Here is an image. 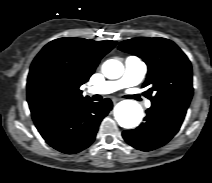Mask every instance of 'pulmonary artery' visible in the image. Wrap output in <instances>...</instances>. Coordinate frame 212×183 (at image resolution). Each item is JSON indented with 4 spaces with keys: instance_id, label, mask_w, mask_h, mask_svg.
Listing matches in <instances>:
<instances>
[{
    "instance_id": "pulmonary-artery-1",
    "label": "pulmonary artery",
    "mask_w": 212,
    "mask_h": 183,
    "mask_svg": "<svg viewBox=\"0 0 212 183\" xmlns=\"http://www.w3.org/2000/svg\"><path fill=\"white\" fill-rule=\"evenodd\" d=\"M147 73L146 64L137 57H129L125 61L122 76L113 81H105L90 88L91 93L109 94L122 88L138 85ZM150 101L146 102V107H150Z\"/></svg>"
}]
</instances>
